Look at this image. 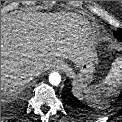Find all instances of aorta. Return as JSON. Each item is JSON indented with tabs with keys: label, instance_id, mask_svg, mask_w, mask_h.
Returning <instances> with one entry per match:
<instances>
[{
	"label": "aorta",
	"instance_id": "obj_1",
	"mask_svg": "<svg viewBox=\"0 0 122 122\" xmlns=\"http://www.w3.org/2000/svg\"><path fill=\"white\" fill-rule=\"evenodd\" d=\"M49 82L54 86L59 85L61 82V75L58 72H52L49 75Z\"/></svg>",
	"mask_w": 122,
	"mask_h": 122
}]
</instances>
